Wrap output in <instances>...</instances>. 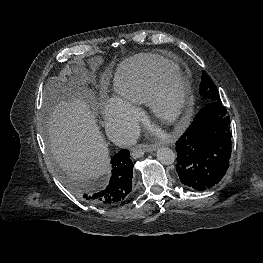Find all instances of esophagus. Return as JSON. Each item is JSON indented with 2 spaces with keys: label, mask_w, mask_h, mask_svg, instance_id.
Listing matches in <instances>:
<instances>
[{
  "label": "esophagus",
  "mask_w": 263,
  "mask_h": 263,
  "mask_svg": "<svg viewBox=\"0 0 263 263\" xmlns=\"http://www.w3.org/2000/svg\"><path fill=\"white\" fill-rule=\"evenodd\" d=\"M157 149V146L152 145V146H148L146 148L142 147L141 145L135 146L134 148H132V157L134 159H138L140 157H142L144 155L145 152H152L155 151Z\"/></svg>",
  "instance_id": "1"
}]
</instances>
